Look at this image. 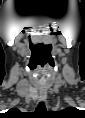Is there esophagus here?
I'll list each match as a JSON object with an SVG mask.
<instances>
[{"instance_id":"34e87169","label":"esophagus","mask_w":85,"mask_h":118,"mask_svg":"<svg viewBox=\"0 0 85 118\" xmlns=\"http://www.w3.org/2000/svg\"><path fill=\"white\" fill-rule=\"evenodd\" d=\"M39 99L41 101H46V99H47V92L45 90H41L39 92Z\"/></svg>"}]
</instances>
